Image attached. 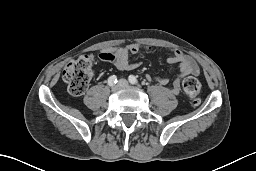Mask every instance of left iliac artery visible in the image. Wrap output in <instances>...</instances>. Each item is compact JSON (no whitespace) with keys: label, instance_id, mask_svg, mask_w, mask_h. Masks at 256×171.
Wrapping results in <instances>:
<instances>
[{"label":"left iliac artery","instance_id":"44dca946","mask_svg":"<svg viewBox=\"0 0 256 171\" xmlns=\"http://www.w3.org/2000/svg\"><path fill=\"white\" fill-rule=\"evenodd\" d=\"M128 80H129V82H130L131 84H137V83H138V80H137V78H136L134 75H130V76L128 77Z\"/></svg>","mask_w":256,"mask_h":171}]
</instances>
